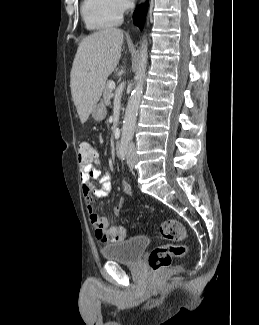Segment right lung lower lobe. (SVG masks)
<instances>
[{
    "mask_svg": "<svg viewBox=\"0 0 259 325\" xmlns=\"http://www.w3.org/2000/svg\"><path fill=\"white\" fill-rule=\"evenodd\" d=\"M147 7H148V1L146 2V4L144 6H139L134 15H133V19L134 22L136 23V25H138L141 29L143 27L144 24V20H145V16H146V12H147Z\"/></svg>",
    "mask_w": 259,
    "mask_h": 325,
    "instance_id": "right-lung-lower-lobe-1",
    "label": "right lung lower lobe"
}]
</instances>
